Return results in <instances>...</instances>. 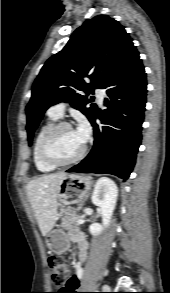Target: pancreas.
Returning a JSON list of instances; mask_svg holds the SVG:
<instances>
[{
  "instance_id": "obj_1",
  "label": "pancreas",
  "mask_w": 170,
  "mask_h": 293,
  "mask_svg": "<svg viewBox=\"0 0 170 293\" xmlns=\"http://www.w3.org/2000/svg\"><path fill=\"white\" fill-rule=\"evenodd\" d=\"M79 209L67 208L64 210V217L61 222V227L67 230H75L79 227L81 216L77 213Z\"/></svg>"
}]
</instances>
